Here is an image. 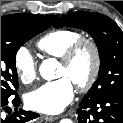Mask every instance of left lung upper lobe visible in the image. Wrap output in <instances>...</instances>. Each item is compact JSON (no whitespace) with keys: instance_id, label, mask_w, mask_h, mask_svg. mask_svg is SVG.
<instances>
[{"instance_id":"1","label":"left lung upper lobe","mask_w":123,"mask_h":123,"mask_svg":"<svg viewBox=\"0 0 123 123\" xmlns=\"http://www.w3.org/2000/svg\"><path fill=\"white\" fill-rule=\"evenodd\" d=\"M64 26L88 32L99 50V76L84 98L123 93V32L119 26L109 17L93 12L70 13L54 24L55 28Z\"/></svg>"}]
</instances>
